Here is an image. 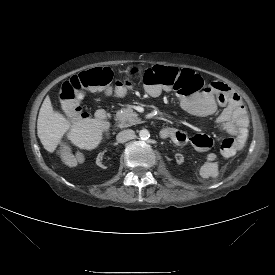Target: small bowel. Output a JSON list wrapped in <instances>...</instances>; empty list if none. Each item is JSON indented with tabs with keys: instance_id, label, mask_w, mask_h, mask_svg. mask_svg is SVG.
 <instances>
[{
	"instance_id": "c3829d8e",
	"label": "small bowel",
	"mask_w": 275,
	"mask_h": 275,
	"mask_svg": "<svg viewBox=\"0 0 275 275\" xmlns=\"http://www.w3.org/2000/svg\"><path fill=\"white\" fill-rule=\"evenodd\" d=\"M180 104L187 112L197 117L216 113L215 127L236 141L237 150L245 145L248 138V115L239 95L228 85L212 82L203 93L184 97ZM163 131L160 132L162 138H168L178 144H186L190 140L198 152L204 153L199 179L204 186H213L222 168L219 164V152L212 149V138L199 132L189 138L185 132L175 128H164Z\"/></svg>"
}]
</instances>
